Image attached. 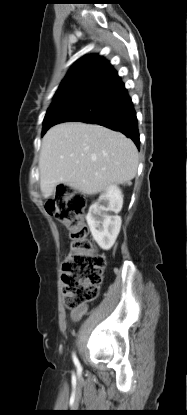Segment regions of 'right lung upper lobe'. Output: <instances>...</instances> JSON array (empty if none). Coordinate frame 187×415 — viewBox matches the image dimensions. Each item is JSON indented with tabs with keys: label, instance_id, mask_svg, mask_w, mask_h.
Listing matches in <instances>:
<instances>
[{
	"label": "right lung upper lobe",
	"instance_id": "obj_1",
	"mask_svg": "<svg viewBox=\"0 0 187 415\" xmlns=\"http://www.w3.org/2000/svg\"><path fill=\"white\" fill-rule=\"evenodd\" d=\"M109 62L97 54L85 56L80 58L68 71L65 78L62 80L56 94L54 95L53 103H57L66 98L74 85L82 78L108 64ZM62 104H59L58 109ZM55 109V110H56Z\"/></svg>",
	"mask_w": 187,
	"mask_h": 415
}]
</instances>
